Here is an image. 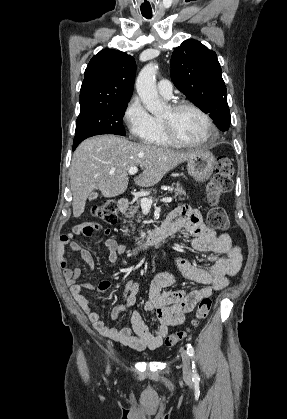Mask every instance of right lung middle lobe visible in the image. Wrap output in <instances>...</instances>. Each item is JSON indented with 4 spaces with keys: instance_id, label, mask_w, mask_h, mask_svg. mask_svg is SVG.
Here are the masks:
<instances>
[{
    "instance_id": "dd1d6c3e",
    "label": "right lung middle lobe",
    "mask_w": 287,
    "mask_h": 419,
    "mask_svg": "<svg viewBox=\"0 0 287 419\" xmlns=\"http://www.w3.org/2000/svg\"><path fill=\"white\" fill-rule=\"evenodd\" d=\"M128 101L100 105L80 111L76 120V131L73 150L82 140L99 134H126L123 126V116Z\"/></svg>"
}]
</instances>
